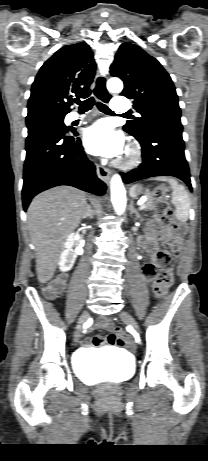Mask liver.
<instances>
[{"label": "liver", "mask_w": 208, "mask_h": 461, "mask_svg": "<svg viewBox=\"0 0 208 461\" xmlns=\"http://www.w3.org/2000/svg\"><path fill=\"white\" fill-rule=\"evenodd\" d=\"M88 213L84 192L59 186L37 195L27 210V223L36 250V273L40 283L54 275L66 238Z\"/></svg>", "instance_id": "1"}]
</instances>
